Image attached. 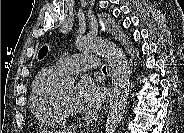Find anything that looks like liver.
Masks as SVG:
<instances>
[{"label":"liver","mask_w":184,"mask_h":133,"mask_svg":"<svg viewBox=\"0 0 184 133\" xmlns=\"http://www.w3.org/2000/svg\"><path fill=\"white\" fill-rule=\"evenodd\" d=\"M42 133H50V132H47V131H42Z\"/></svg>","instance_id":"6515ba94"}]
</instances>
